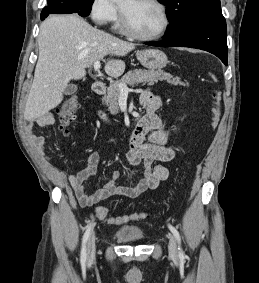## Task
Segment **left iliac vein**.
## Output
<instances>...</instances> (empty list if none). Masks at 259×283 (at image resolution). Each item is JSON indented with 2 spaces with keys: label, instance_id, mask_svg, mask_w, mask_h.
Here are the masks:
<instances>
[{
  "label": "left iliac vein",
  "instance_id": "1",
  "mask_svg": "<svg viewBox=\"0 0 259 283\" xmlns=\"http://www.w3.org/2000/svg\"><path fill=\"white\" fill-rule=\"evenodd\" d=\"M169 252L172 256L178 255L177 242L173 235L169 234Z\"/></svg>",
  "mask_w": 259,
  "mask_h": 283
}]
</instances>
